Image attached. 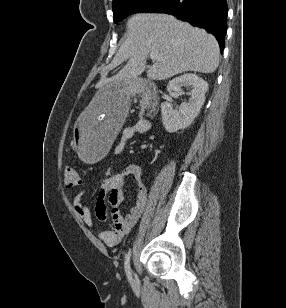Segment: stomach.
<instances>
[{"mask_svg":"<svg viewBox=\"0 0 286 308\" xmlns=\"http://www.w3.org/2000/svg\"><path fill=\"white\" fill-rule=\"evenodd\" d=\"M130 81H116L96 89L89 97L88 109H82L73 122V149L79 153L83 165H94L106 156V149H112L113 137L123 124L130 107Z\"/></svg>","mask_w":286,"mask_h":308,"instance_id":"stomach-1","label":"stomach"}]
</instances>
